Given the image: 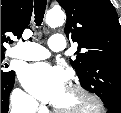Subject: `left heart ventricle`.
<instances>
[{"label": "left heart ventricle", "mask_w": 121, "mask_h": 113, "mask_svg": "<svg viewBox=\"0 0 121 113\" xmlns=\"http://www.w3.org/2000/svg\"><path fill=\"white\" fill-rule=\"evenodd\" d=\"M56 107L63 111L70 110H89L90 104L79 94L66 89L60 101L56 104Z\"/></svg>", "instance_id": "obj_1"}]
</instances>
